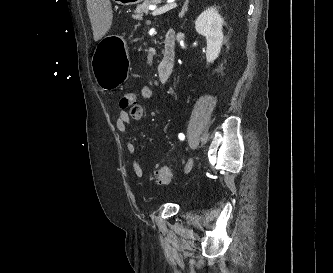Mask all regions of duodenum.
Masks as SVG:
<instances>
[{
	"label": "duodenum",
	"instance_id": "obj_1",
	"mask_svg": "<svg viewBox=\"0 0 333 273\" xmlns=\"http://www.w3.org/2000/svg\"><path fill=\"white\" fill-rule=\"evenodd\" d=\"M176 40L173 31H168L164 38L162 58L157 66V76L161 83H167L175 65Z\"/></svg>",
	"mask_w": 333,
	"mask_h": 273
}]
</instances>
